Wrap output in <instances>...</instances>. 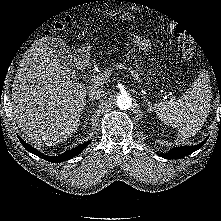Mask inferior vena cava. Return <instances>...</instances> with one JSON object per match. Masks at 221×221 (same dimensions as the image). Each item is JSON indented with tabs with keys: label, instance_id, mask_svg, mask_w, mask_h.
Masks as SVG:
<instances>
[{
	"label": "inferior vena cava",
	"instance_id": "obj_1",
	"mask_svg": "<svg viewBox=\"0 0 221 221\" xmlns=\"http://www.w3.org/2000/svg\"><path fill=\"white\" fill-rule=\"evenodd\" d=\"M106 92L100 88H91L88 95L93 100L102 99L105 96Z\"/></svg>",
	"mask_w": 221,
	"mask_h": 221
}]
</instances>
